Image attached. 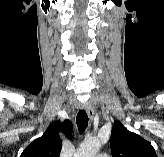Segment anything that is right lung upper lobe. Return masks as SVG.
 I'll use <instances>...</instances> for the list:
<instances>
[{"label":"right lung upper lobe","mask_w":164,"mask_h":157,"mask_svg":"<svg viewBox=\"0 0 164 157\" xmlns=\"http://www.w3.org/2000/svg\"><path fill=\"white\" fill-rule=\"evenodd\" d=\"M59 130H61L67 138H70L72 135V123L69 120L63 123H54L41 137L35 139L27 146L20 157H60L62 140L58 133Z\"/></svg>","instance_id":"cb5924a9"}]
</instances>
